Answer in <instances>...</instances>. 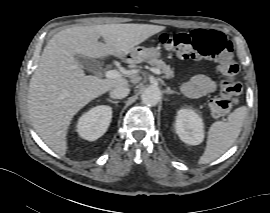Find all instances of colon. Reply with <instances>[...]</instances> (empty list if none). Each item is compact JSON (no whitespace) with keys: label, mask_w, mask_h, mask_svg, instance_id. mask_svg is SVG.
Masks as SVG:
<instances>
[{"label":"colon","mask_w":270,"mask_h":213,"mask_svg":"<svg viewBox=\"0 0 270 213\" xmlns=\"http://www.w3.org/2000/svg\"><path fill=\"white\" fill-rule=\"evenodd\" d=\"M159 44L182 59L216 60L218 69L225 78L221 82V96L209 101L210 111L214 116H221L234 106L235 98L240 94L242 87L233 79L238 72V66L232 45L222 33L198 29L189 33L163 34L159 38Z\"/></svg>","instance_id":"5ec220e1"}]
</instances>
